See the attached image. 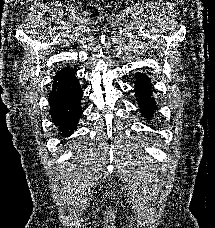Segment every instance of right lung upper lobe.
<instances>
[{
    "mask_svg": "<svg viewBox=\"0 0 215 228\" xmlns=\"http://www.w3.org/2000/svg\"><path fill=\"white\" fill-rule=\"evenodd\" d=\"M75 75L74 72L72 70H70L69 68H65L63 70H60L56 76H59V77H70V76H73Z\"/></svg>",
    "mask_w": 215,
    "mask_h": 228,
    "instance_id": "1",
    "label": "right lung upper lobe"
}]
</instances>
